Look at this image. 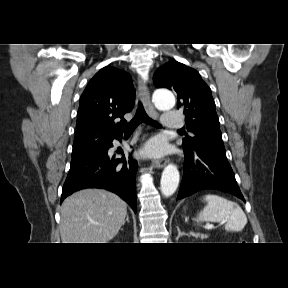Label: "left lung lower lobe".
I'll return each instance as SVG.
<instances>
[{
  "label": "left lung lower lobe",
  "instance_id": "1",
  "mask_svg": "<svg viewBox=\"0 0 288 288\" xmlns=\"http://www.w3.org/2000/svg\"><path fill=\"white\" fill-rule=\"evenodd\" d=\"M184 152V174L177 199H183L200 190L217 189L245 202L228 160L200 148Z\"/></svg>",
  "mask_w": 288,
  "mask_h": 288
}]
</instances>
